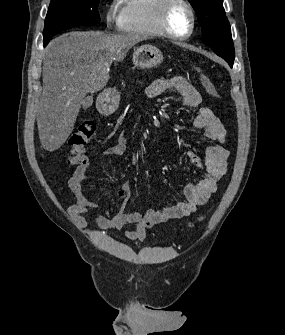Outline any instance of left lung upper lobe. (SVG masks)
<instances>
[{
    "mask_svg": "<svg viewBox=\"0 0 285 335\" xmlns=\"http://www.w3.org/2000/svg\"><path fill=\"white\" fill-rule=\"evenodd\" d=\"M189 1L201 25L203 42L232 66L235 55L234 46L222 0Z\"/></svg>",
    "mask_w": 285,
    "mask_h": 335,
    "instance_id": "1",
    "label": "left lung upper lobe"
}]
</instances>
